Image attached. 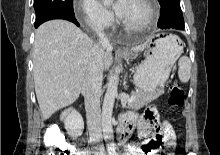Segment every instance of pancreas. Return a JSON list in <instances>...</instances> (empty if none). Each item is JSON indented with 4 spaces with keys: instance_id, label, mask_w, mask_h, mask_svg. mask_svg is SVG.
Wrapping results in <instances>:
<instances>
[{
    "instance_id": "obj_1",
    "label": "pancreas",
    "mask_w": 220,
    "mask_h": 155,
    "mask_svg": "<svg viewBox=\"0 0 220 155\" xmlns=\"http://www.w3.org/2000/svg\"><path fill=\"white\" fill-rule=\"evenodd\" d=\"M163 93H164V90H160L159 92L153 93V94H145L141 91H138L135 94L136 98L132 102L128 103V108L132 110H139L143 106L157 99Z\"/></svg>"
}]
</instances>
